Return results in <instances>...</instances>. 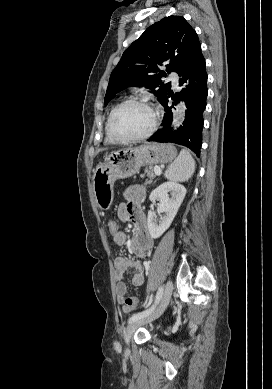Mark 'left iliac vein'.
<instances>
[{
    "label": "left iliac vein",
    "instance_id": "4c4485c4",
    "mask_svg": "<svg viewBox=\"0 0 272 389\" xmlns=\"http://www.w3.org/2000/svg\"><path fill=\"white\" fill-rule=\"evenodd\" d=\"M172 291H173V283H172V281H168L165 285L164 291L162 293V297H161L160 302L157 305V307L152 312L147 314L146 316H144V317H142V318H140V319H138V320H136L128 325V327L126 328V330L124 332V340H125V343L127 345H129L130 340L133 336V333L135 332V330L139 326L157 319L164 312L165 308L167 307V305L170 301Z\"/></svg>",
    "mask_w": 272,
    "mask_h": 389
}]
</instances>
